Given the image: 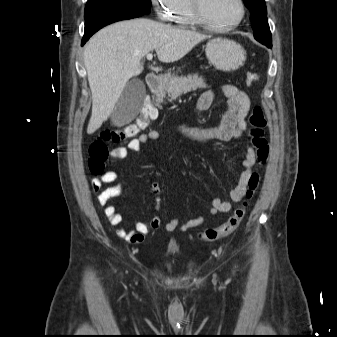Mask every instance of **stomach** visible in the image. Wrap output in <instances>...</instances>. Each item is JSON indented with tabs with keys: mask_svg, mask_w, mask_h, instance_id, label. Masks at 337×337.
<instances>
[{
	"mask_svg": "<svg viewBox=\"0 0 337 337\" xmlns=\"http://www.w3.org/2000/svg\"><path fill=\"white\" fill-rule=\"evenodd\" d=\"M205 51L209 62L216 69L222 71L237 70L246 60V52L243 47L228 39L210 40Z\"/></svg>",
	"mask_w": 337,
	"mask_h": 337,
	"instance_id": "0dacf381",
	"label": "stomach"
}]
</instances>
